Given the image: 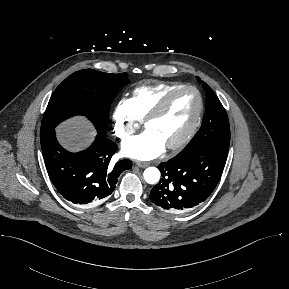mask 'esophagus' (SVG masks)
I'll return each instance as SVG.
<instances>
[{"instance_id": "34e87169", "label": "esophagus", "mask_w": 289, "mask_h": 289, "mask_svg": "<svg viewBox=\"0 0 289 289\" xmlns=\"http://www.w3.org/2000/svg\"><path fill=\"white\" fill-rule=\"evenodd\" d=\"M136 165L140 168H145L147 167L149 164L146 162H141V161H136Z\"/></svg>"}]
</instances>
